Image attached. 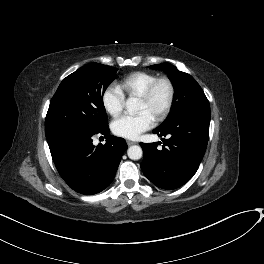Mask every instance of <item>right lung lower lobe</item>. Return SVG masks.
I'll list each match as a JSON object with an SVG mask.
<instances>
[{"mask_svg":"<svg viewBox=\"0 0 264 264\" xmlns=\"http://www.w3.org/2000/svg\"><path fill=\"white\" fill-rule=\"evenodd\" d=\"M109 132L106 125L97 132L66 129L46 135L60 176L76 192L93 195L112 182L127 144ZM96 134L107 138L105 145H93Z\"/></svg>","mask_w":264,"mask_h":264,"instance_id":"right-lung-lower-lobe-1","label":"right lung lower lobe"}]
</instances>
